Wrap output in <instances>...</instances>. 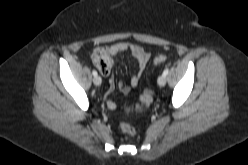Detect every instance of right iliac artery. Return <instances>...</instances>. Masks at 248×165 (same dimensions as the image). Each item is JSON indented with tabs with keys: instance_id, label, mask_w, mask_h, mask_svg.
I'll return each instance as SVG.
<instances>
[{
	"instance_id": "right-iliac-artery-1",
	"label": "right iliac artery",
	"mask_w": 248,
	"mask_h": 165,
	"mask_svg": "<svg viewBox=\"0 0 248 165\" xmlns=\"http://www.w3.org/2000/svg\"><path fill=\"white\" fill-rule=\"evenodd\" d=\"M92 74H93L94 76H97V71H96V70H93V71H92Z\"/></svg>"
}]
</instances>
